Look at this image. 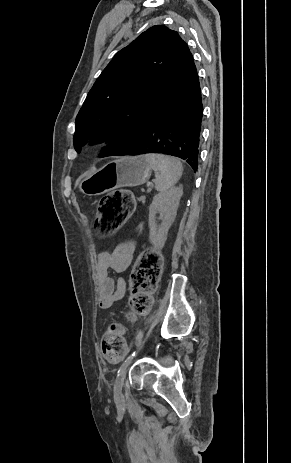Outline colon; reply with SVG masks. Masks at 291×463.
<instances>
[{
    "mask_svg": "<svg viewBox=\"0 0 291 463\" xmlns=\"http://www.w3.org/2000/svg\"><path fill=\"white\" fill-rule=\"evenodd\" d=\"M135 208L130 191L119 189L101 198L97 207L96 229L100 234L118 230L129 218ZM162 267L161 254L146 250L138 258L130 277L131 298L130 317L142 315L151 306V294L155 290ZM102 352L110 362H119L125 354L123 328L112 324L102 338Z\"/></svg>",
    "mask_w": 291,
    "mask_h": 463,
    "instance_id": "obj_1",
    "label": "colon"
}]
</instances>
